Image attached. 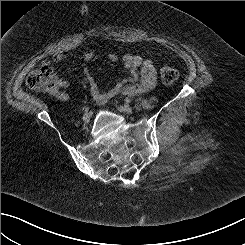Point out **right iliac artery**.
<instances>
[{
    "mask_svg": "<svg viewBox=\"0 0 245 245\" xmlns=\"http://www.w3.org/2000/svg\"><path fill=\"white\" fill-rule=\"evenodd\" d=\"M89 109H90V107L86 106V107L83 108V111H84L85 113H87V112L89 111Z\"/></svg>",
    "mask_w": 245,
    "mask_h": 245,
    "instance_id": "obj_1",
    "label": "right iliac artery"
}]
</instances>
